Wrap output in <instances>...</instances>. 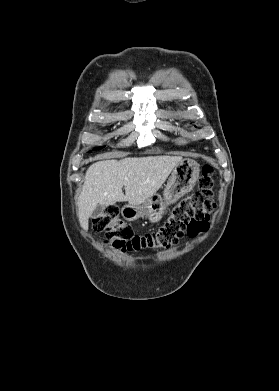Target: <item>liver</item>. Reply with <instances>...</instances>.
Segmentation results:
<instances>
[{"instance_id":"6515ba94","label":"liver","mask_w":279,"mask_h":391,"mask_svg":"<svg viewBox=\"0 0 279 391\" xmlns=\"http://www.w3.org/2000/svg\"><path fill=\"white\" fill-rule=\"evenodd\" d=\"M182 159L181 156H150L92 164L77 202L81 227L88 230V220L97 205L109 206L122 201L130 205L144 203L156 194Z\"/></svg>"}]
</instances>
